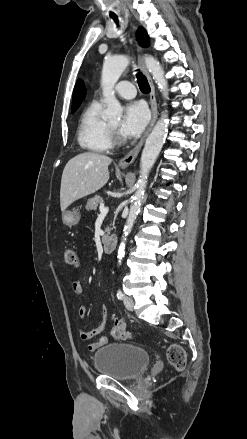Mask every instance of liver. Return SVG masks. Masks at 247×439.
Masks as SVG:
<instances>
[{"label":"liver","mask_w":247,"mask_h":439,"mask_svg":"<svg viewBox=\"0 0 247 439\" xmlns=\"http://www.w3.org/2000/svg\"><path fill=\"white\" fill-rule=\"evenodd\" d=\"M111 162L110 157L93 152L81 153L70 159L61 178V210L102 188L109 180L108 166Z\"/></svg>","instance_id":"6515ba94"}]
</instances>
